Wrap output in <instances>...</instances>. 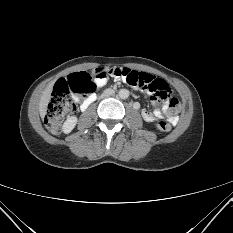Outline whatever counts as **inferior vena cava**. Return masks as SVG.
<instances>
[{"instance_id": "obj_1", "label": "inferior vena cava", "mask_w": 233, "mask_h": 233, "mask_svg": "<svg viewBox=\"0 0 233 233\" xmlns=\"http://www.w3.org/2000/svg\"><path fill=\"white\" fill-rule=\"evenodd\" d=\"M114 95H115L114 89H105L103 93L101 94V97L105 98V97L114 96Z\"/></svg>"}]
</instances>
